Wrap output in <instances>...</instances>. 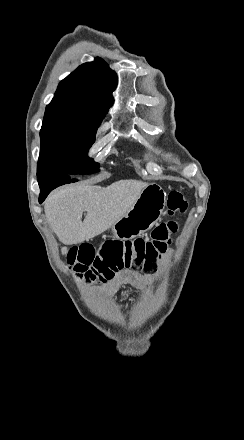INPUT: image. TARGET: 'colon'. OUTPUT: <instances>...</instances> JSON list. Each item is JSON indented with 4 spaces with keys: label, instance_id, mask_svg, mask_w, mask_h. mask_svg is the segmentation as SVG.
<instances>
[{
    "label": "colon",
    "instance_id": "obj_1",
    "mask_svg": "<svg viewBox=\"0 0 244 440\" xmlns=\"http://www.w3.org/2000/svg\"><path fill=\"white\" fill-rule=\"evenodd\" d=\"M166 206L169 216L184 214L188 201L183 191L171 190ZM177 228L175 222H166L152 230L150 239L110 240L100 245L97 251L91 246L71 248L67 269L94 274L95 282L110 280L116 272L124 270L151 271L157 257L166 250L170 234L176 232ZM76 259L78 262H75Z\"/></svg>",
    "mask_w": 244,
    "mask_h": 440
}]
</instances>
